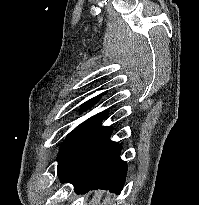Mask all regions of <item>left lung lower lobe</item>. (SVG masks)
I'll use <instances>...</instances> for the list:
<instances>
[{"mask_svg":"<svg viewBox=\"0 0 199 205\" xmlns=\"http://www.w3.org/2000/svg\"><path fill=\"white\" fill-rule=\"evenodd\" d=\"M113 128L97 126L90 134L70 171L60 179L71 183L77 193L108 189L120 193L127 164L120 159L121 145L109 140Z\"/></svg>","mask_w":199,"mask_h":205,"instance_id":"obj_1","label":"left lung lower lobe"}]
</instances>
